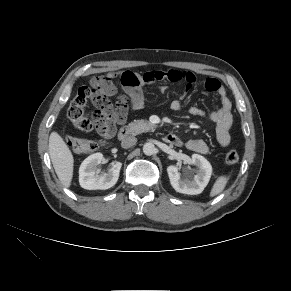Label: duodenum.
Returning <instances> with one entry per match:
<instances>
[{
	"instance_id": "obj_1",
	"label": "duodenum",
	"mask_w": 291,
	"mask_h": 291,
	"mask_svg": "<svg viewBox=\"0 0 291 291\" xmlns=\"http://www.w3.org/2000/svg\"><path fill=\"white\" fill-rule=\"evenodd\" d=\"M131 135V129L128 126H123L120 128L118 137L120 140H125ZM165 141L169 144L176 145L179 139L174 134H168L165 136Z\"/></svg>"
}]
</instances>
